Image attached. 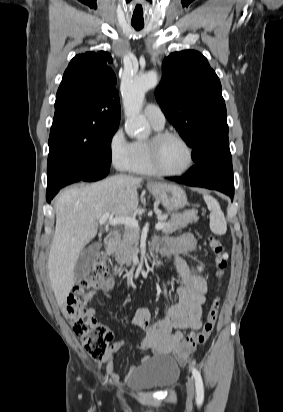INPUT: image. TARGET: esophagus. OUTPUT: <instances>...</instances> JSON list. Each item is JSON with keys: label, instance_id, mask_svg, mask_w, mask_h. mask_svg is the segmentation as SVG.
Wrapping results in <instances>:
<instances>
[{"label": "esophagus", "instance_id": "1", "mask_svg": "<svg viewBox=\"0 0 283 412\" xmlns=\"http://www.w3.org/2000/svg\"><path fill=\"white\" fill-rule=\"evenodd\" d=\"M151 184H153V182H148V185H151Z\"/></svg>", "mask_w": 283, "mask_h": 412}]
</instances>
